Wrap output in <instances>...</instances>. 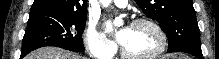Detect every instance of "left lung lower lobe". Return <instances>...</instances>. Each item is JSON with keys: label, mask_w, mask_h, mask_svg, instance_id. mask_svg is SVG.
Here are the masks:
<instances>
[{"label": "left lung lower lobe", "mask_w": 219, "mask_h": 59, "mask_svg": "<svg viewBox=\"0 0 219 59\" xmlns=\"http://www.w3.org/2000/svg\"><path fill=\"white\" fill-rule=\"evenodd\" d=\"M171 52H186L193 56H196L198 59H204L202 56L200 44L185 43L174 49L168 50V53H171Z\"/></svg>", "instance_id": "1"}]
</instances>
